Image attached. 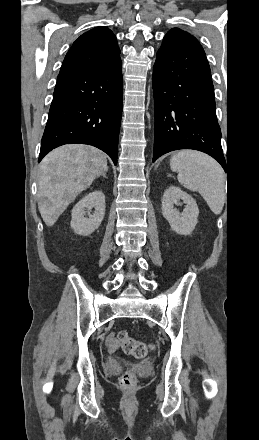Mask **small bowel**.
<instances>
[{"mask_svg": "<svg viewBox=\"0 0 259 440\" xmlns=\"http://www.w3.org/2000/svg\"><path fill=\"white\" fill-rule=\"evenodd\" d=\"M105 345L111 352L115 351L118 348V342L115 334L111 333L106 337Z\"/></svg>", "mask_w": 259, "mask_h": 440, "instance_id": "c3829d8e", "label": "small bowel"}]
</instances>
